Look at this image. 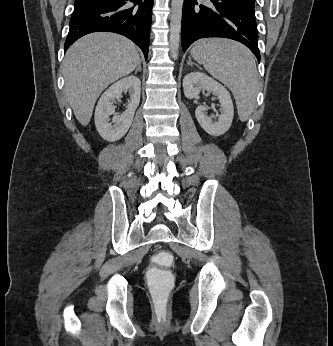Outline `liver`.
I'll return each mask as SVG.
<instances>
[{
  "label": "liver",
  "mask_w": 333,
  "mask_h": 346,
  "mask_svg": "<svg viewBox=\"0 0 333 346\" xmlns=\"http://www.w3.org/2000/svg\"><path fill=\"white\" fill-rule=\"evenodd\" d=\"M139 63L135 44L121 35L97 32L77 40L63 63L65 96L77 120L88 125L102 91Z\"/></svg>",
  "instance_id": "obj_1"
}]
</instances>
